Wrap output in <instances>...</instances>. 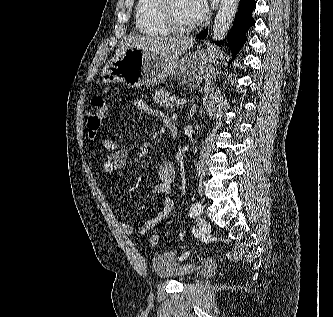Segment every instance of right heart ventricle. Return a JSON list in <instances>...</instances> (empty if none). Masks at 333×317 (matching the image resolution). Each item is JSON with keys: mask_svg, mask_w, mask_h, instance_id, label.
I'll list each match as a JSON object with an SVG mask.
<instances>
[{"mask_svg": "<svg viewBox=\"0 0 333 317\" xmlns=\"http://www.w3.org/2000/svg\"><path fill=\"white\" fill-rule=\"evenodd\" d=\"M137 30L147 36L166 37L170 35L159 22L155 13V0H138L135 7Z\"/></svg>", "mask_w": 333, "mask_h": 317, "instance_id": "right-heart-ventricle-1", "label": "right heart ventricle"}]
</instances>
